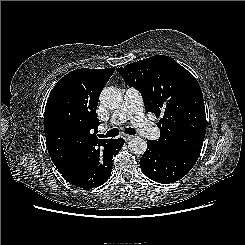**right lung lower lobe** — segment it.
Listing matches in <instances>:
<instances>
[{
  "label": "right lung lower lobe",
  "instance_id": "1",
  "mask_svg": "<svg viewBox=\"0 0 245 245\" xmlns=\"http://www.w3.org/2000/svg\"><path fill=\"white\" fill-rule=\"evenodd\" d=\"M124 144L123 138L100 142L76 163L53 160L56 168L70 184L91 189L104 184L111 175L113 156Z\"/></svg>",
  "mask_w": 245,
  "mask_h": 245
}]
</instances>
